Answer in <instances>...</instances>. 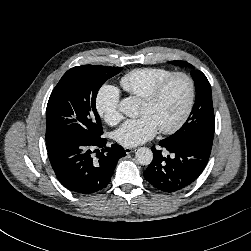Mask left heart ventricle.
I'll list each match as a JSON object with an SVG mask.
<instances>
[{"mask_svg": "<svg viewBox=\"0 0 251 251\" xmlns=\"http://www.w3.org/2000/svg\"><path fill=\"white\" fill-rule=\"evenodd\" d=\"M188 99V86L185 80L176 79L152 104L142 103L140 115L150 116L157 128L173 125L182 115Z\"/></svg>", "mask_w": 251, "mask_h": 251, "instance_id": "left-heart-ventricle-1", "label": "left heart ventricle"}]
</instances>
